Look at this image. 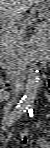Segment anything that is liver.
<instances>
[{"mask_svg": "<svg viewBox=\"0 0 50 148\" xmlns=\"http://www.w3.org/2000/svg\"><path fill=\"white\" fill-rule=\"evenodd\" d=\"M41 0H1V16L8 21L18 20L31 6Z\"/></svg>", "mask_w": 50, "mask_h": 148, "instance_id": "1", "label": "liver"}]
</instances>
